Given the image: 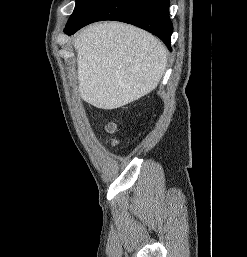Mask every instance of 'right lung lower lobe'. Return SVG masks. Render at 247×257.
<instances>
[{
	"instance_id": "98d812e1",
	"label": "right lung lower lobe",
	"mask_w": 247,
	"mask_h": 257,
	"mask_svg": "<svg viewBox=\"0 0 247 257\" xmlns=\"http://www.w3.org/2000/svg\"><path fill=\"white\" fill-rule=\"evenodd\" d=\"M169 6V0H94L78 21L66 25L64 32L74 34L96 21H121L155 34L171 50L173 25L169 19Z\"/></svg>"
}]
</instances>
